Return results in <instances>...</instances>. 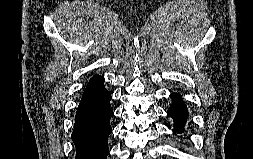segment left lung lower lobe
<instances>
[{
  "mask_svg": "<svg viewBox=\"0 0 253 159\" xmlns=\"http://www.w3.org/2000/svg\"><path fill=\"white\" fill-rule=\"evenodd\" d=\"M170 97L173 99L172 105L168 110V114L173 118L175 123L174 131L178 133L183 132L184 124L188 117V111L185 103L178 94H171Z\"/></svg>",
  "mask_w": 253,
  "mask_h": 159,
  "instance_id": "1",
  "label": "left lung lower lobe"
}]
</instances>
